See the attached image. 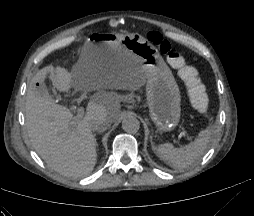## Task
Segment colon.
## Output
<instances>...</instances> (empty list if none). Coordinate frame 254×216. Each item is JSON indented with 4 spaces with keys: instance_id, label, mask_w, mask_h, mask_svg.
<instances>
[{
    "instance_id": "obj_1",
    "label": "colon",
    "mask_w": 254,
    "mask_h": 216,
    "mask_svg": "<svg viewBox=\"0 0 254 216\" xmlns=\"http://www.w3.org/2000/svg\"><path fill=\"white\" fill-rule=\"evenodd\" d=\"M148 39L157 45L161 53L166 56L169 64L177 70L180 80L183 82L192 107L197 112H204L209 105L208 96L197 75L196 70L188 65L185 57L172 49L170 43L163 39L157 31H150Z\"/></svg>"
}]
</instances>
